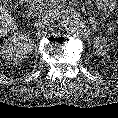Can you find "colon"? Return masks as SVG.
<instances>
[{"label":"colon","mask_w":118,"mask_h":118,"mask_svg":"<svg viewBox=\"0 0 118 118\" xmlns=\"http://www.w3.org/2000/svg\"><path fill=\"white\" fill-rule=\"evenodd\" d=\"M11 1H21V0H11Z\"/></svg>","instance_id":"obj_1"}]
</instances>
